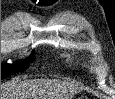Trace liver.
I'll return each mask as SVG.
<instances>
[{
  "label": "liver",
  "mask_w": 115,
  "mask_h": 99,
  "mask_svg": "<svg viewBox=\"0 0 115 99\" xmlns=\"http://www.w3.org/2000/svg\"><path fill=\"white\" fill-rule=\"evenodd\" d=\"M70 85L58 80H27L1 91V99H68Z\"/></svg>",
  "instance_id": "1"
}]
</instances>
